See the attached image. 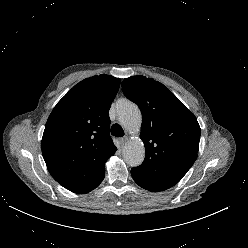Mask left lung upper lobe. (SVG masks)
I'll list each match as a JSON object with an SVG mask.
<instances>
[{"instance_id":"left-lung-upper-lobe-1","label":"left lung upper lobe","mask_w":248,"mask_h":248,"mask_svg":"<svg viewBox=\"0 0 248 248\" xmlns=\"http://www.w3.org/2000/svg\"><path fill=\"white\" fill-rule=\"evenodd\" d=\"M124 95L142 113L144 162L132 168L135 182L159 192L177 184L197 158L201 129L196 117L162 83L144 76L122 82Z\"/></svg>"}]
</instances>
